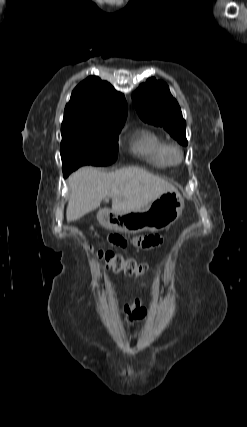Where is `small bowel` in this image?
<instances>
[{"instance_id": "obj_1", "label": "small bowel", "mask_w": 247, "mask_h": 427, "mask_svg": "<svg viewBox=\"0 0 247 427\" xmlns=\"http://www.w3.org/2000/svg\"><path fill=\"white\" fill-rule=\"evenodd\" d=\"M109 244L117 246L118 249H125L127 246V240L123 237L117 235L115 232H110L108 234ZM162 242L159 236H148V237H136L133 239V244L142 248H150L160 245ZM124 313L126 315V320L128 323H131L134 320H142L146 316V309L141 306L140 301H136L133 304L124 306Z\"/></svg>"}]
</instances>
